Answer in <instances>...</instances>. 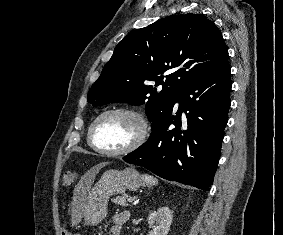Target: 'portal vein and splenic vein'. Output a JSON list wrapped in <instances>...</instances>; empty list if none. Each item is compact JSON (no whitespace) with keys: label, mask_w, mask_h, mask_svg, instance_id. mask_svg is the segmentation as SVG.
I'll return each instance as SVG.
<instances>
[{"label":"portal vein and splenic vein","mask_w":283,"mask_h":235,"mask_svg":"<svg viewBox=\"0 0 283 235\" xmlns=\"http://www.w3.org/2000/svg\"><path fill=\"white\" fill-rule=\"evenodd\" d=\"M132 200H133V198L131 197V198H130V201H132Z\"/></svg>","instance_id":"obj_1"}]
</instances>
